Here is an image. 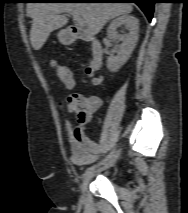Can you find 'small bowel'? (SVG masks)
<instances>
[{"instance_id": "c3829d8e", "label": "small bowel", "mask_w": 188, "mask_h": 213, "mask_svg": "<svg viewBox=\"0 0 188 213\" xmlns=\"http://www.w3.org/2000/svg\"><path fill=\"white\" fill-rule=\"evenodd\" d=\"M62 106L67 111L76 113L79 122V126L75 128L68 121L65 124L72 144L71 162L78 166L92 164L96 161L101 148L86 135L85 127L92 114L101 108L102 99L95 94L74 92L65 98Z\"/></svg>"}]
</instances>
